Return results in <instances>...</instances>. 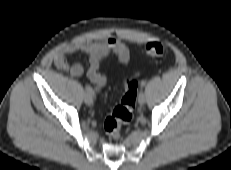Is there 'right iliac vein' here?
Masks as SVG:
<instances>
[{
	"label": "right iliac vein",
	"instance_id": "1",
	"mask_svg": "<svg viewBox=\"0 0 231 170\" xmlns=\"http://www.w3.org/2000/svg\"><path fill=\"white\" fill-rule=\"evenodd\" d=\"M84 101L89 106L93 105V102H94L93 95L90 94V93H85V95H84Z\"/></svg>",
	"mask_w": 231,
	"mask_h": 170
}]
</instances>
